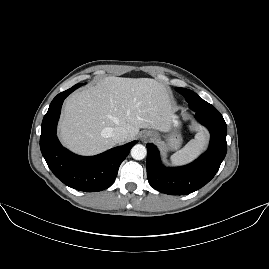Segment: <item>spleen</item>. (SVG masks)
I'll return each mask as SVG.
<instances>
[{"instance_id":"spleen-1","label":"spleen","mask_w":269,"mask_h":269,"mask_svg":"<svg viewBox=\"0 0 269 269\" xmlns=\"http://www.w3.org/2000/svg\"><path fill=\"white\" fill-rule=\"evenodd\" d=\"M206 139L205 130H200L195 139L189 141L182 149L172 155V160L175 162H184L192 158L201 148L204 147Z\"/></svg>"}]
</instances>
